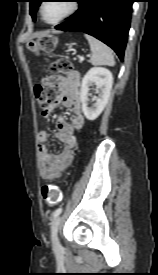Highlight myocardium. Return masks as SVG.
<instances>
[{
    "mask_svg": "<svg viewBox=\"0 0 158 275\" xmlns=\"http://www.w3.org/2000/svg\"><path fill=\"white\" fill-rule=\"evenodd\" d=\"M69 2H70V8H69L68 12L55 21H48L45 19L44 15H43V8H44L46 1L41 3L40 8H39V13H40L42 20L47 24L55 25V24H58V23L64 21L65 19L69 18L70 16L75 14L79 9V3L77 0H71Z\"/></svg>",
    "mask_w": 158,
    "mask_h": 275,
    "instance_id": "1",
    "label": "myocardium"
}]
</instances>
